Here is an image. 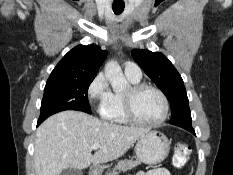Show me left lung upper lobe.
<instances>
[{
	"label": "left lung upper lobe",
	"instance_id": "left-lung-upper-lobe-1",
	"mask_svg": "<svg viewBox=\"0 0 233 175\" xmlns=\"http://www.w3.org/2000/svg\"><path fill=\"white\" fill-rule=\"evenodd\" d=\"M132 57L170 101V124L184 129L192 128L185 86L172 63L162 53L147 50L134 49Z\"/></svg>",
	"mask_w": 233,
	"mask_h": 175
}]
</instances>
